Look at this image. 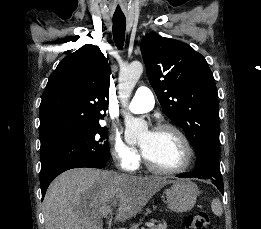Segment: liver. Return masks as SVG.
Instances as JSON below:
<instances>
[{
  "label": "liver",
  "mask_w": 261,
  "mask_h": 229,
  "mask_svg": "<svg viewBox=\"0 0 261 229\" xmlns=\"http://www.w3.org/2000/svg\"><path fill=\"white\" fill-rule=\"evenodd\" d=\"M171 181L114 171L70 169L49 185L43 201L45 229H103V217L119 201L115 221H129ZM112 203V205H110Z\"/></svg>",
  "instance_id": "liver-1"
}]
</instances>
